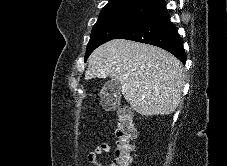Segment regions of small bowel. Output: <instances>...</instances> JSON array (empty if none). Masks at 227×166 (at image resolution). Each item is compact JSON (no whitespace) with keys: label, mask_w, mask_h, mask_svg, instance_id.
Returning a JSON list of instances; mask_svg holds the SVG:
<instances>
[{"label":"small bowel","mask_w":227,"mask_h":166,"mask_svg":"<svg viewBox=\"0 0 227 166\" xmlns=\"http://www.w3.org/2000/svg\"><path fill=\"white\" fill-rule=\"evenodd\" d=\"M110 145L108 143H102L90 150L85 157V162L91 163L94 166H104L100 158L110 152Z\"/></svg>","instance_id":"c3829d8e"}]
</instances>
